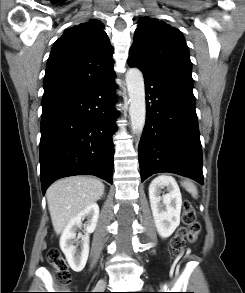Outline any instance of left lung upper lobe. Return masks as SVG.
Listing matches in <instances>:
<instances>
[{
  "label": "left lung upper lobe",
  "instance_id": "5c2ea615",
  "mask_svg": "<svg viewBox=\"0 0 245 293\" xmlns=\"http://www.w3.org/2000/svg\"><path fill=\"white\" fill-rule=\"evenodd\" d=\"M128 61L193 89L192 64L185 39L178 29L163 21L148 17L139 21Z\"/></svg>",
  "mask_w": 245,
  "mask_h": 293
}]
</instances>
